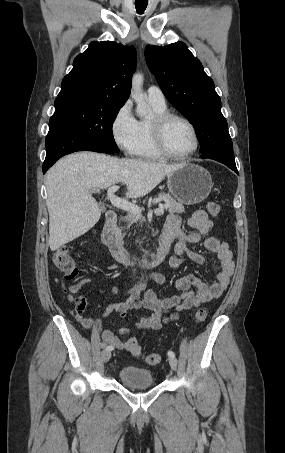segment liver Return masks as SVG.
Returning a JSON list of instances; mask_svg holds the SVG:
<instances>
[{
  "label": "liver",
  "instance_id": "6515ba94",
  "mask_svg": "<svg viewBox=\"0 0 285 453\" xmlns=\"http://www.w3.org/2000/svg\"><path fill=\"white\" fill-rule=\"evenodd\" d=\"M179 166L95 152L63 157L45 178L51 251L85 234L99 221L101 210L91 190L122 182L127 198L143 197Z\"/></svg>",
  "mask_w": 285,
  "mask_h": 453
}]
</instances>
